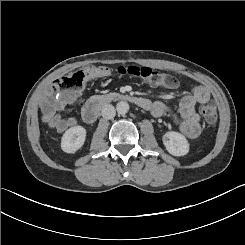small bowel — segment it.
Returning a JSON list of instances; mask_svg holds the SVG:
<instances>
[{
    "label": "small bowel",
    "instance_id": "small-bowel-1",
    "mask_svg": "<svg viewBox=\"0 0 245 245\" xmlns=\"http://www.w3.org/2000/svg\"><path fill=\"white\" fill-rule=\"evenodd\" d=\"M54 95L51 87L44 91L40 102L43 113L42 120L48 127L58 133H62L68 128L75 126L77 123L74 116L63 117L61 115L67 107L73 103L76 95H56L54 103L49 105V99ZM209 99V91L205 87L199 86L194 90L193 94L183 97L179 105V115L162 102L152 103L153 106L150 110L156 117L162 116L163 114L170 115L185 136L188 138H196L201 133V126L200 116L195 111V105L197 103H206Z\"/></svg>",
    "mask_w": 245,
    "mask_h": 245
}]
</instances>
